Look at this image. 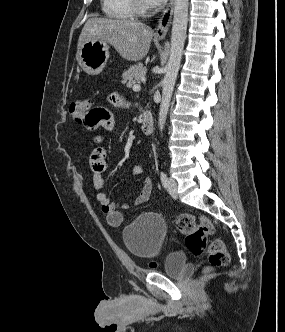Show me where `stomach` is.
I'll list each match as a JSON object with an SVG mask.
<instances>
[{
    "instance_id": "1",
    "label": "stomach",
    "mask_w": 285,
    "mask_h": 332,
    "mask_svg": "<svg viewBox=\"0 0 285 332\" xmlns=\"http://www.w3.org/2000/svg\"><path fill=\"white\" fill-rule=\"evenodd\" d=\"M108 58V44L96 39H87L77 53L78 64L89 75L101 73Z\"/></svg>"
}]
</instances>
